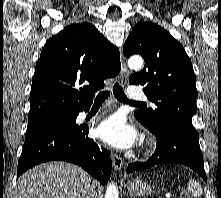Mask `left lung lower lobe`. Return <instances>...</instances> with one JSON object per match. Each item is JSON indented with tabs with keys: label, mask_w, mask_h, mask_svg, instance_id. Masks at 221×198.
<instances>
[{
	"label": "left lung lower lobe",
	"mask_w": 221,
	"mask_h": 198,
	"mask_svg": "<svg viewBox=\"0 0 221 198\" xmlns=\"http://www.w3.org/2000/svg\"><path fill=\"white\" fill-rule=\"evenodd\" d=\"M149 130L157 138L154 154L146 162L129 164L127 167V173L142 171L156 164L176 163L192 168L205 181H207L198 134L176 130Z\"/></svg>",
	"instance_id": "obj_1"
}]
</instances>
